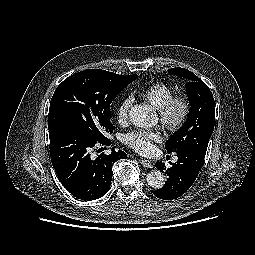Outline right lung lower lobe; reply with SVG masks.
<instances>
[{"label":"right lung lower lobe","mask_w":255,"mask_h":255,"mask_svg":"<svg viewBox=\"0 0 255 255\" xmlns=\"http://www.w3.org/2000/svg\"><path fill=\"white\" fill-rule=\"evenodd\" d=\"M50 156L55 172L63 186L76 198L95 200L109 189L112 166L118 159L126 158L124 151L100 154L91 159L90 149L96 144L110 145L108 138L91 139L67 126L49 129Z\"/></svg>","instance_id":"obj_1"}]
</instances>
